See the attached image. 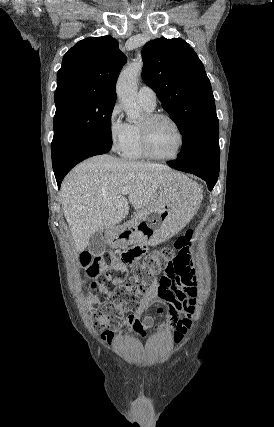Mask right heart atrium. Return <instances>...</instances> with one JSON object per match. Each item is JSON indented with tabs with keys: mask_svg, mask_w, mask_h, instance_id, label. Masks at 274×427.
Wrapping results in <instances>:
<instances>
[{
	"mask_svg": "<svg viewBox=\"0 0 274 427\" xmlns=\"http://www.w3.org/2000/svg\"><path fill=\"white\" fill-rule=\"evenodd\" d=\"M106 131L111 149L120 152L128 139L129 125L123 121L118 105L113 106L107 115Z\"/></svg>",
	"mask_w": 274,
	"mask_h": 427,
	"instance_id": "right-heart-atrium-1",
	"label": "right heart atrium"
}]
</instances>
